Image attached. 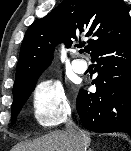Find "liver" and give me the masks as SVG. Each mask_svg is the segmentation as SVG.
I'll return each mask as SVG.
<instances>
[{"mask_svg": "<svg viewBox=\"0 0 131 151\" xmlns=\"http://www.w3.org/2000/svg\"><path fill=\"white\" fill-rule=\"evenodd\" d=\"M85 135L86 145L90 142V135ZM12 151H78L72 138L67 132H53L33 142L16 145Z\"/></svg>", "mask_w": 131, "mask_h": 151, "instance_id": "6515ba94", "label": "liver"}]
</instances>
